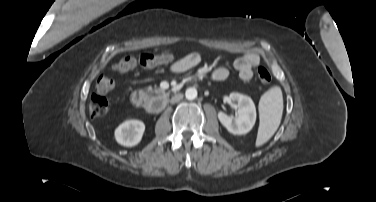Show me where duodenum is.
Returning <instances> with one entry per match:
<instances>
[{"label":"duodenum","instance_id":"1","mask_svg":"<svg viewBox=\"0 0 376 202\" xmlns=\"http://www.w3.org/2000/svg\"><path fill=\"white\" fill-rule=\"evenodd\" d=\"M132 105L147 113H157L162 110L169 101V97L165 95H158L152 98H147L141 91H134L131 94Z\"/></svg>","mask_w":376,"mask_h":202}]
</instances>
